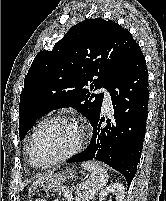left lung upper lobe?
Masks as SVG:
<instances>
[{"instance_id": "5c2ea615", "label": "left lung upper lobe", "mask_w": 166, "mask_h": 201, "mask_svg": "<svg viewBox=\"0 0 166 201\" xmlns=\"http://www.w3.org/2000/svg\"><path fill=\"white\" fill-rule=\"evenodd\" d=\"M138 44L121 25L102 18L71 27L51 51H40L25 76L19 105V136L44 114L74 107L90 121L102 106L103 93L127 65Z\"/></svg>"}]
</instances>
